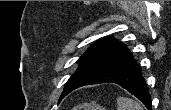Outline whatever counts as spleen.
Segmentation results:
<instances>
[{
    "mask_svg": "<svg viewBox=\"0 0 171 110\" xmlns=\"http://www.w3.org/2000/svg\"><path fill=\"white\" fill-rule=\"evenodd\" d=\"M117 109L118 110H143L139 102L123 96L117 98Z\"/></svg>",
    "mask_w": 171,
    "mask_h": 110,
    "instance_id": "1",
    "label": "spleen"
}]
</instances>
